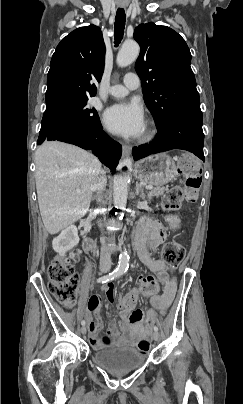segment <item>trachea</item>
I'll use <instances>...</instances> for the list:
<instances>
[{
    "label": "trachea",
    "mask_w": 243,
    "mask_h": 404,
    "mask_svg": "<svg viewBox=\"0 0 243 404\" xmlns=\"http://www.w3.org/2000/svg\"><path fill=\"white\" fill-rule=\"evenodd\" d=\"M125 22H126L125 10L123 8H118L114 23V38H115L114 43L116 47L121 43V40L123 39Z\"/></svg>",
    "instance_id": "obj_1"
}]
</instances>
